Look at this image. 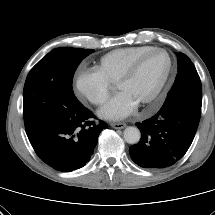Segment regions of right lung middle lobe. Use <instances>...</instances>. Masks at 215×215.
Here are the masks:
<instances>
[{"mask_svg":"<svg viewBox=\"0 0 215 215\" xmlns=\"http://www.w3.org/2000/svg\"><path fill=\"white\" fill-rule=\"evenodd\" d=\"M92 49L56 48L29 72L23 91L27 134L82 104L74 95L72 80L80 62Z\"/></svg>","mask_w":215,"mask_h":215,"instance_id":"1","label":"right lung middle lobe"}]
</instances>
